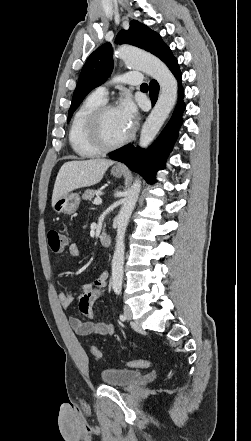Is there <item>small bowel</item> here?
I'll use <instances>...</instances> for the list:
<instances>
[{"label":"small bowel","mask_w":251,"mask_h":441,"mask_svg":"<svg viewBox=\"0 0 251 441\" xmlns=\"http://www.w3.org/2000/svg\"><path fill=\"white\" fill-rule=\"evenodd\" d=\"M69 253L72 257L80 256V249L77 244L72 243L68 247ZM109 276L108 273H101L93 283H86L80 286L78 296V307L80 312L89 320L83 321L77 316L69 317V324L71 328L81 336L96 335H112L114 334V326L108 321L94 322L93 306L95 301L103 296L106 292ZM58 301L63 308H69L73 302V294L70 289H66L58 294Z\"/></svg>","instance_id":"c3829d8e"}]
</instances>
